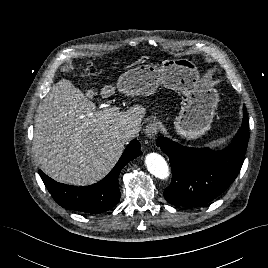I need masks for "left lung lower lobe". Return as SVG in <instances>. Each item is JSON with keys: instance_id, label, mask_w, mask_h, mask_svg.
<instances>
[{"instance_id": "left-lung-lower-lobe-1", "label": "left lung lower lobe", "mask_w": 268, "mask_h": 268, "mask_svg": "<svg viewBox=\"0 0 268 268\" xmlns=\"http://www.w3.org/2000/svg\"><path fill=\"white\" fill-rule=\"evenodd\" d=\"M249 122L245 106L243 122L231 144L223 150L184 147L164 137L157 146L169 157L172 181L164 190L172 205L203 206L222 194L237 177L249 140Z\"/></svg>"}]
</instances>
